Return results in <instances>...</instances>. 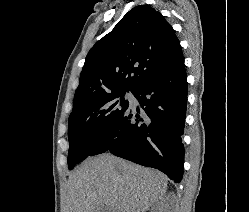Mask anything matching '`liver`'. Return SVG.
<instances>
[{"mask_svg":"<svg viewBox=\"0 0 249 212\" xmlns=\"http://www.w3.org/2000/svg\"><path fill=\"white\" fill-rule=\"evenodd\" d=\"M167 176L101 154L87 158L70 174L67 212H147L164 196Z\"/></svg>","mask_w":249,"mask_h":212,"instance_id":"liver-1","label":"liver"}]
</instances>
